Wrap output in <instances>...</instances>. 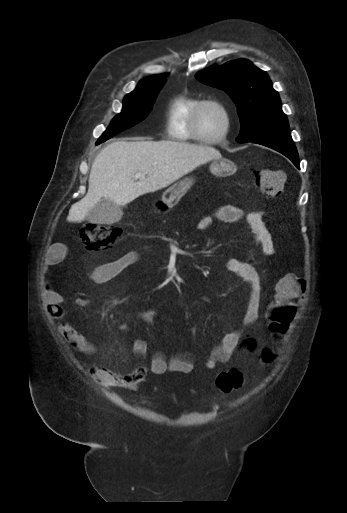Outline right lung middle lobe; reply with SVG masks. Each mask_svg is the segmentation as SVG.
I'll list each match as a JSON object with an SVG mask.
<instances>
[{"label": "right lung middle lobe", "instance_id": "right-lung-middle-lobe-1", "mask_svg": "<svg viewBox=\"0 0 347 513\" xmlns=\"http://www.w3.org/2000/svg\"><path fill=\"white\" fill-rule=\"evenodd\" d=\"M165 82V78H160L139 83L134 91L125 96L122 112L112 120L98 141L102 143L142 121L152 110L155 99Z\"/></svg>", "mask_w": 347, "mask_h": 513}]
</instances>
